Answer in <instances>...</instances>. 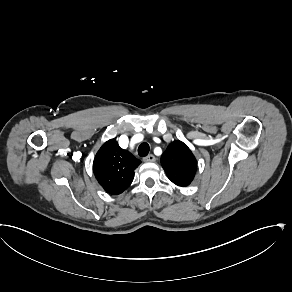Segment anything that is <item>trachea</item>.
<instances>
[{"mask_svg":"<svg viewBox=\"0 0 292 292\" xmlns=\"http://www.w3.org/2000/svg\"><path fill=\"white\" fill-rule=\"evenodd\" d=\"M150 151V146L147 142H143L138 147V154L140 157H145Z\"/></svg>","mask_w":292,"mask_h":292,"instance_id":"1","label":"trachea"}]
</instances>
